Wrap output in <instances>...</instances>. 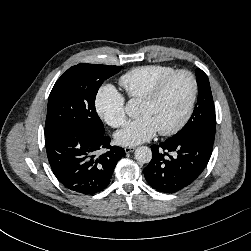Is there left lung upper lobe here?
Masks as SVG:
<instances>
[{"mask_svg":"<svg viewBox=\"0 0 251 251\" xmlns=\"http://www.w3.org/2000/svg\"><path fill=\"white\" fill-rule=\"evenodd\" d=\"M196 78L198 101L194 112L187 124L169 139L185 137L191 134H202L211 139L215 137L216 116L209 80L201 69H196Z\"/></svg>","mask_w":251,"mask_h":251,"instance_id":"5c2ea615","label":"left lung upper lobe"}]
</instances>
